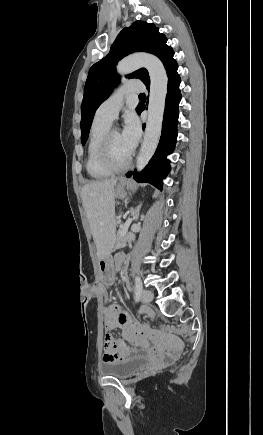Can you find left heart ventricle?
<instances>
[{
	"mask_svg": "<svg viewBox=\"0 0 263 435\" xmlns=\"http://www.w3.org/2000/svg\"><path fill=\"white\" fill-rule=\"evenodd\" d=\"M111 154L113 160L117 164L125 162L130 155V152L123 144L121 133L117 130H114L111 135Z\"/></svg>",
	"mask_w": 263,
	"mask_h": 435,
	"instance_id": "obj_1",
	"label": "left heart ventricle"
}]
</instances>
